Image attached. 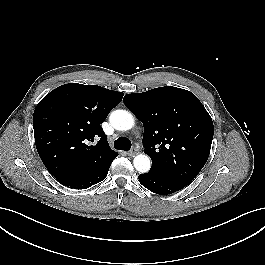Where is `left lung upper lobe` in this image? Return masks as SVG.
I'll return each mask as SVG.
<instances>
[{
  "label": "left lung upper lobe",
  "instance_id": "obj_1",
  "mask_svg": "<svg viewBox=\"0 0 265 265\" xmlns=\"http://www.w3.org/2000/svg\"><path fill=\"white\" fill-rule=\"evenodd\" d=\"M123 101L143 123L151 169L189 184L204 167L214 134L212 119L199 99L168 86L127 94Z\"/></svg>",
  "mask_w": 265,
  "mask_h": 265
}]
</instances>
